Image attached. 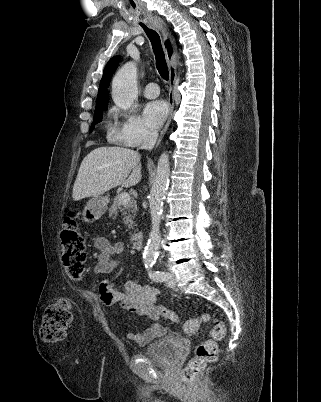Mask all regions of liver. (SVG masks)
<instances>
[{
	"label": "liver",
	"mask_w": 321,
	"mask_h": 402,
	"mask_svg": "<svg viewBox=\"0 0 321 402\" xmlns=\"http://www.w3.org/2000/svg\"><path fill=\"white\" fill-rule=\"evenodd\" d=\"M141 156L123 147H98L82 161L73 186V200L100 196L119 185H136L142 177Z\"/></svg>",
	"instance_id": "1"
}]
</instances>
